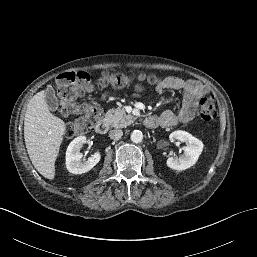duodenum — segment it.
I'll use <instances>...</instances> for the list:
<instances>
[{
    "label": "duodenum",
    "mask_w": 257,
    "mask_h": 257,
    "mask_svg": "<svg viewBox=\"0 0 257 257\" xmlns=\"http://www.w3.org/2000/svg\"><path fill=\"white\" fill-rule=\"evenodd\" d=\"M156 120L153 117H147L145 119V125L150 128H154L156 126ZM109 128V124L106 119H101L96 125V132L99 134H104L107 132Z\"/></svg>",
    "instance_id": "1"
}]
</instances>
